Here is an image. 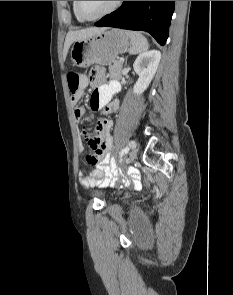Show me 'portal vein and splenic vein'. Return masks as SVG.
Returning a JSON list of instances; mask_svg holds the SVG:
<instances>
[{
	"label": "portal vein and splenic vein",
	"instance_id": "obj_1",
	"mask_svg": "<svg viewBox=\"0 0 233 295\" xmlns=\"http://www.w3.org/2000/svg\"><path fill=\"white\" fill-rule=\"evenodd\" d=\"M120 61H122V62H123V61H124V59H123V58H120Z\"/></svg>",
	"mask_w": 233,
	"mask_h": 295
}]
</instances>
